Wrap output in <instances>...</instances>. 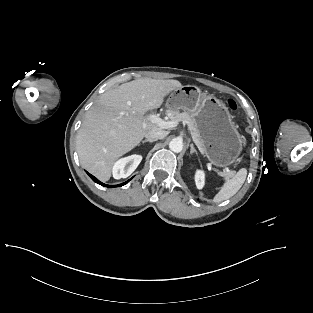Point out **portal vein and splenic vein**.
I'll use <instances>...</instances> for the list:
<instances>
[{"label":"portal vein and splenic vein","instance_id":"1","mask_svg":"<svg viewBox=\"0 0 313 313\" xmlns=\"http://www.w3.org/2000/svg\"><path fill=\"white\" fill-rule=\"evenodd\" d=\"M148 119L156 124L158 127L160 128H163V129H169V128H175L177 125H178V122L177 120H171V121H164L163 119H161L160 117L156 116V115H153V114H149L148 115ZM190 131H191V134L193 136V140L195 142V144L197 145V147L199 148V150L202 152L200 146L198 145L195 137H194V134L191 130V128L189 127ZM226 172H229L228 169H225ZM218 174H220L221 176H223L224 174L222 172H218Z\"/></svg>","mask_w":313,"mask_h":313}]
</instances>
